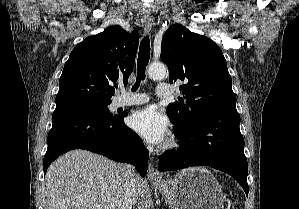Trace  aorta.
<instances>
[{
	"mask_svg": "<svg viewBox=\"0 0 299 209\" xmlns=\"http://www.w3.org/2000/svg\"><path fill=\"white\" fill-rule=\"evenodd\" d=\"M167 69L165 65L161 63H152L148 69V75L154 80L163 79L167 75Z\"/></svg>",
	"mask_w": 299,
	"mask_h": 209,
	"instance_id": "obj_1",
	"label": "aorta"
}]
</instances>
